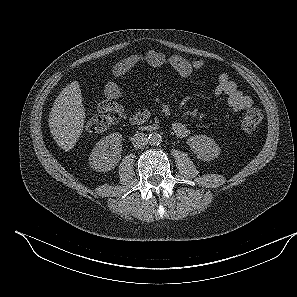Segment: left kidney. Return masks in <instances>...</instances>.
Returning <instances> with one entry per match:
<instances>
[{"mask_svg":"<svg viewBox=\"0 0 297 297\" xmlns=\"http://www.w3.org/2000/svg\"><path fill=\"white\" fill-rule=\"evenodd\" d=\"M187 143L200 160L210 161L220 154L218 144L206 135L192 136Z\"/></svg>","mask_w":297,"mask_h":297,"instance_id":"left-kidney-1","label":"left kidney"}]
</instances>
